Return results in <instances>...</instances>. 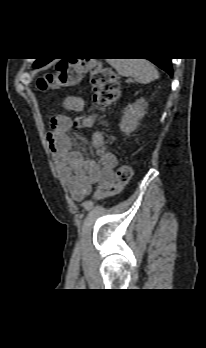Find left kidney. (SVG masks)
I'll return each instance as SVG.
<instances>
[{
  "label": "left kidney",
  "instance_id": "obj_1",
  "mask_svg": "<svg viewBox=\"0 0 206 348\" xmlns=\"http://www.w3.org/2000/svg\"><path fill=\"white\" fill-rule=\"evenodd\" d=\"M147 107L148 102L144 98H140L135 103L129 105L123 112L119 125L120 130L126 135H130L139 126V121L145 115Z\"/></svg>",
  "mask_w": 206,
  "mask_h": 348
}]
</instances>
